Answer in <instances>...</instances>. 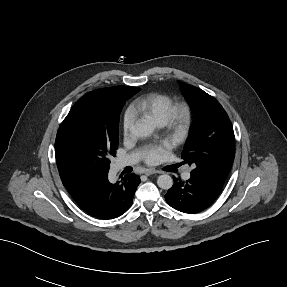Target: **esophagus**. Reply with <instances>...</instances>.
<instances>
[{
    "label": "esophagus",
    "instance_id": "1",
    "mask_svg": "<svg viewBox=\"0 0 287 287\" xmlns=\"http://www.w3.org/2000/svg\"><path fill=\"white\" fill-rule=\"evenodd\" d=\"M162 172L159 170H154V169H147L144 171L145 175H152V174H161Z\"/></svg>",
    "mask_w": 287,
    "mask_h": 287
}]
</instances>
